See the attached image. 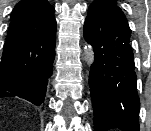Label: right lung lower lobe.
Returning a JSON list of instances; mask_svg holds the SVG:
<instances>
[{"label": "right lung lower lobe", "instance_id": "98d812e1", "mask_svg": "<svg viewBox=\"0 0 151 131\" xmlns=\"http://www.w3.org/2000/svg\"><path fill=\"white\" fill-rule=\"evenodd\" d=\"M49 58L39 69L25 78L6 86H0V98L21 97L39 106L46 95L48 80L52 75L55 47Z\"/></svg>", "mask_w": 151, "mask_h": 131}]
</instances>
